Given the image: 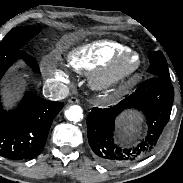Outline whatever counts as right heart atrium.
Wrapping results in <instances>:
<instances>
[{"instance_id":"obj_1","label":"right heart atrium","mask_w":183,"mask_h":183,"mask_svg":"<svg viewBox=\"0 0 183 183\" xmlns=\"http://www.w3.org/2000/svg\"><path fill=\"white\" fill-rule=\"evenodd\" d=\"M53 80L60 84H66L67 78L63 71L60 69L55 70V72L52 75Z\"/></svg>"}]
</instances>
